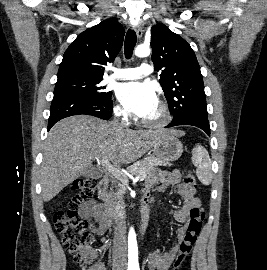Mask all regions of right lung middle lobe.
<instances>
[{
    "instance_id": "dd1d6c3e",
    "label": "right lung middle lobe",
    "mask_w": 267,
    "mask_h": 270,
    "mask_svg": "<svg viewBox=\"0 0 267 270\" xmlns=\"http://www.w3.org/2000/svg\"><path fill=\"white\" fill-rule=\"evenodd\" d=\"M102 78H89L83 76L58 77L54 89V97H73L84 100H107L112 92L103 91L104 87L98 84Z\"/></svg>"
}]
</instances>
